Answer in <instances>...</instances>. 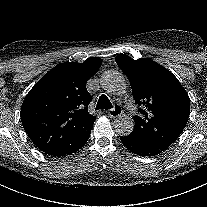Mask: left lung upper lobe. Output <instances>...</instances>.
Returning a JSON list of instances; mask_svg holds the SVG:
<instances>
[{
	"label": "left lung upper lobe",
	"instance_id": "5c2ea615",
	"mask_svg": "<svg viewBox=\"0 0 207 207\" xmlns=\"http://www.w3.org/2000/svg\"><path fill=\"white\" fill-rule=\"evenodd\" d=\"M128 77L139 108L130 137L165 151L180 136L190 115V98L173 73L160 64L126 54L115 57Z\"/></svg>",
	"mask_w": 207,
	"mask_h": 207
}]
</instances>
